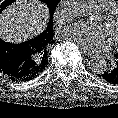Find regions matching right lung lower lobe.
Returning a JSON list of instances; mask_svg holds the SVG:
<instances>
[{
    "label": "right lung lower lobe",
    "mask_w": 118,
    "mask_h": 118,
    "mask_svg": "<svg viewBox=\"0 0 118 118\" xmlns=\"http://www.w3.org/2000/svg\"><path fill=\"white\" fill-rule=\"evenodd\" d=\"M31 40L12 44L0 39V72L7 78L23 82L41 73L36 70V53Z\"/></svg>",
    "instance_id": "right-lung-lower-lobe-1"
}]
</instances>
